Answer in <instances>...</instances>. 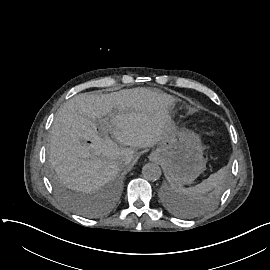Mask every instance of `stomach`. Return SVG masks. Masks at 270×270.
<instances>
[{"instance_id":"1","label":"stomach","mask_w":270,"mask_h":270,"mask_svg":"<svg viewBox=\"0 0 270 270\" xmlns=\"http://www.w3.org/2000/svg\"><path fill=\"white\" fill-rule=\"evenodd\" d=\"M149 160L164 166L171 183L191 184L206 169L201 140L187 129L169 132Z\"/></svg>"}]
</instances>
